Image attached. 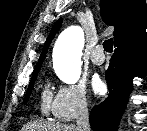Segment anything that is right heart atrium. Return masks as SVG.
<instances>
[{
	"label": "right heart atrium",
	"mask_w": 147,
	"mask_h": 131,
	"mask_svg": "<svg viewBox=\"0 0 147 131\" xmlns=\"http://www.w3.org/2000/svg\"><path fill=\"white\" fill-rule=\"evenodd\" d=\"M89 96L83 83L62 85L52 101V114L62 122H69L88 112Z\"/></svg>",
	"instance_id": "right-heart-atrium-1"
}]
</instances>
